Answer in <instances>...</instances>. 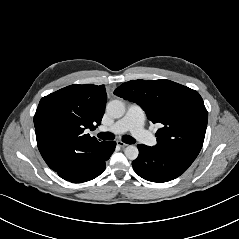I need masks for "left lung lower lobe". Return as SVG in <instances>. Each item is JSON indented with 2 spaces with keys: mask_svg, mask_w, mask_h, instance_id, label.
I'll return each mask as SVG.
<instances>
[{
  "mask_svg": "<svg viewBox=\"0 0 239 239\" xmlns=\"http://www.w3.org/2000/svg\"><path fill=\"white\" fill-rule=\"evenodd\" d=\"M139 156L132 162L134 171L152 182H167L184 173L191 161L157 147L138 145Z\"/></svg>",
  "mask_w": 239,
  "mask_h": 239,
  "instance_id": "0a47b994",
  "label": "left lung lower lobe"
}]
</instances>
